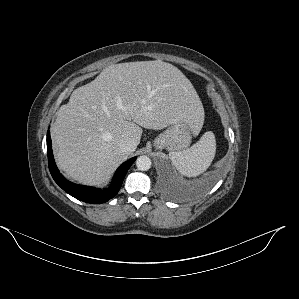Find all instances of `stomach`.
Here are the masks:
<instances>
[{
	"label": "stomach",
	"instance_id": "0dacf381",
	"mask_svg": "<svg viewBox=\"0 0 299 299\" xmlns=\"http://www.w3.org/2000/svg\"><path fill=\"white\" fill-rule=\"evenodd\" d=\"M192 132L187 119L172 122L165 131L154 140L156 149H168L170 152L184 151L191 143Z\"/></svg>",
	"mask_w": 299,
	"mask_h": 299
}]
</instances>
